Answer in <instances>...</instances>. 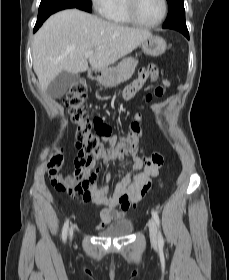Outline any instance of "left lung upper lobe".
Returning <instances> with one entry per match:
<instances>
[{"mask_svg": "<svg viewBox=\"0 0 229 280\" xmlns=\"http://www.w3.org/2000/svg\"><path fill=\"white\" fill-rule=\"evenodd\" d=\"M168 16L163 25V28H169L176 24L185 23L184 0H167Z\"/></svg>", "mask_w": 229, "mask_h": 280, "instance_id": "1", "label": "left lung upper lobe"}]
</instances>
